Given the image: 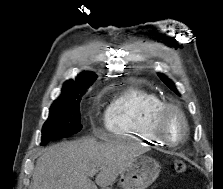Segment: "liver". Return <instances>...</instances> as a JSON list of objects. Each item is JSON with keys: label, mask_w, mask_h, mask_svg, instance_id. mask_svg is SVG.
<instances>
[{"label": "liver", "mask_w": 223, "mask_h": 189, "mask_svg": "<svg viewBox=\"0 0 223 189\" xmlns=\"http://www.w3.org/2000/svg\"><path fill=\"white\" fill-rule=\"evenodd\" d=\"M139 154L135 145L94 138L54 144L36 162L32 189H109ZM92 170L98 172L95 182L89 178Z\"/></svg>", "instance_id": "1"}]
</instances>
